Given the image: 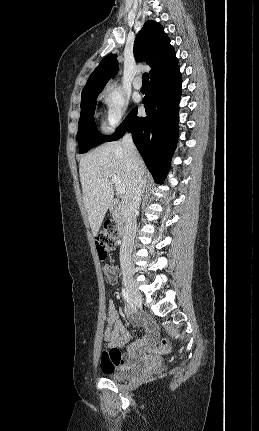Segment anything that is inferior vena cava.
<instances>
[{
    "instance_id": "1",
    "label": "inferior vena cava",
    "mask_w": 259,
    "mask_h": 431,
    "mask_svg": "<svg viewBox=\"0 0 259 431\" xmlns=\"http://www.w3.org/2000/svg\"><path fill=\"white\" fill-rule=\"evenodd\" d=\"M122 146L126 158L127 168L132 177V183L126 192L123 201L124 228L123 238L120 247V262L122 266L130 264L131 253L134 245L136 233V216L135 212L139 206L143 192L144 180L140 167V156L136 150L132 135L126 133L122 138Z\"/></svg>"
}]
</instances>
